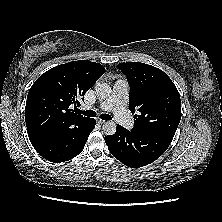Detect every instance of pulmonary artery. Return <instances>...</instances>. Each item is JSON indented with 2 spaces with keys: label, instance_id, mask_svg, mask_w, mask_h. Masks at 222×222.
Returning <instances> with one entry per match:
<instances>
[{
  "label": "pulmonary artery",
  "instance_id": "pulmonary-artery-1",
  "mask_svg": "<svg viewBox=\"0 0 222 222\" xmlns=\"http://www.w3.org/2000/svg\"><path fill=\"white\" fill-rule=\"evenodd\" d=\"M127 99L128 83L121 78L115 82L111 95L101 102L98 107L105 111H112L119 124L127 129H131L134 122L126 109Z\"/></svg>",
  "mask_w": 222,
  "mask_h": 222
}]
</instances>
